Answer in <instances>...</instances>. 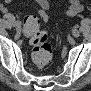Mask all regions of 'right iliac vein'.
<instances>
[{
	"label": "right iliac vein",
	"instance_id": "1",
	"mask_svg": "<svg viewBox=\"0 0 91 91\" xmlns=\"http://www.w3.org/2000/svg\"><path fill=\"white\" fill-rule=\"evenodd\" d=\"M16 27V30L18 31V32H20L21 31V26L19 25V26H15Z\"/></svg>",
	"mask_w": 91,
	"mask_h": 91
}]
</instances>
